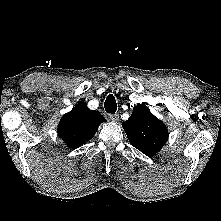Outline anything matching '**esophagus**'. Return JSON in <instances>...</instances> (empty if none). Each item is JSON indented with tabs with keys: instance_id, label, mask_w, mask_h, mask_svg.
I'll return each mask as SVG.
<instances>
[{
	"instance_id": "esophagus-1",
	"label": "esophagus",
	"mask_w": 221,
	"mask_h": 221,
	"mask_svg": "<svg viewBox=\"0 0 221 221\" xmlns=\"http://www.w3.org/2000/svg\"><path fill=\"white\" fill-rule=\"evenodd\" d=\"M110 120L112 122H117L119 120V114H112V115H110Z\"/></svg>"
}]
</instances>
